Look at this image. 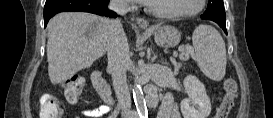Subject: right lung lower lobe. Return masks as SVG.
Here are the masks:
<instances>
[{"instance_id": "98d812e1", "label": "right lung lower lobe", "mask_w": 273, "mask_h": 118, "mask_svg": "<svg viewBox=\"0 0 273 118\" xmlns=\"http://www.w3.org/2000/svg\"><path fill=\"white\" fill-rule=\"evenodd\" d=\"M109 0H47L44 7V25L55 14L67 11L89 12L101 16L117 17L109 10Z\"/></svg>"}]
</instances>
